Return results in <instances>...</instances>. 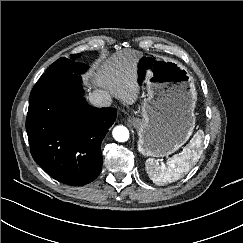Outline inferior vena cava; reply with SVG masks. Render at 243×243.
I'll return each mask as SVG.
<instances>
[{"instance_id":"602c4592","label":"inferior vena cava","mask_w":243,"mask_h":243,"mask_svg":"<svg viewBox=\"0 0 243 243\" xmlns=\"http://www.w3.org/2000/svg\"><path fill=\"white\" fill-rule=\"evenodd\" d=\"M89 102L98 108L109 107L112 103L111 95L105 90H94L89 94Z\"/></svg>"}]
</instances>
